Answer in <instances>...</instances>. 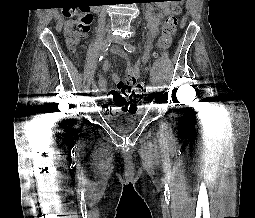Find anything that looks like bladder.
I'll return each instance as SVG.
<instances>
[{
    "instance_id": "obj_1",
    "label": "bladder",
    "mask_w": 255,
    "mask_h": 218,
    "mask_svg": "<svg viewBox=\"0 0 255 218\" xmlns=\"http://www.w3.org/2000/svg\"><path fill=\"white\" fill-rule=\"evenodd\" d=\"M108 119L117 132H128L138 122V115L135 112L109 114Z\"/></svg>"
}]
</instances>
